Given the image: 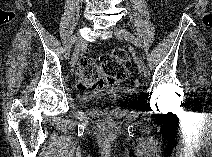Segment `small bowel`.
I'll return each instance as SVG.
<instances>
[{"label":"small bowel","instance_id":"1","mask_svg":"<svg viewBox=\"0 0 212 157\" xmlns=\"http://www.w3.org/2000/svg\"><path fill=\"white\" fill-rule=\"evenodd\" d=\"M89 59L87 58H82L80 61V68L88 61ZM79 76V75H78Z\"/></svg>","mask_w":212,"mask_h":157}]
</instances>
